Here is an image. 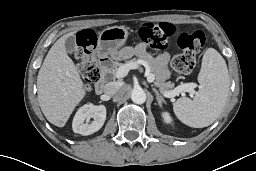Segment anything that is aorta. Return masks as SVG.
<instances>
[{"instance_id": "aorta-1", "label": "aorta", "mask_w": 256, "mask_h": 171, "mask_svg": "<svg viewBox=\"0 0 256 171\" xmlns=\"http://www.w3.org/2000/svg\"><path fill=\"white\" fill-rule=\"evenodd\" d=\"M146 98L145 91L140 87L134 88L131 92V100L136 104L145 103Z\"/></svg>"}]
</instances>
